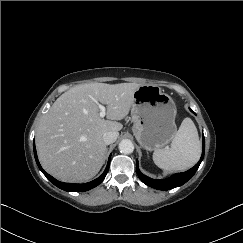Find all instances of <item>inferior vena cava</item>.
<instances>
[{
	"label": "inferior vena cava",
	"mask_w": 243,
	"mask_h": 243,
	"mask_svg": "<svg viewBox=\"0 0 243 243\" xmlns=\"http://www.w3.org/2000/svg\"><path fill=\"white\" fill-rule=\"evenodd\" d=\"M118 137V134L114 131L105 132L103 134V141L105 144L109 145L114 143Z\"/></svg>",
	"instance_id": "1"
}]
</instances>
